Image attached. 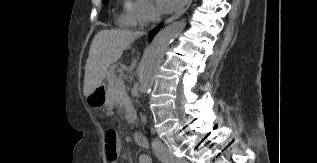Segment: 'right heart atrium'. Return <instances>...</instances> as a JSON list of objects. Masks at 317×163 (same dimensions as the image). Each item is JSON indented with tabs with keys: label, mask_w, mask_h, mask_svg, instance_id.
Instances as JSON below:
<instances>
[{
	"label": "right heart atrium",
	"mask_w": 317,
	"mask_h": 163,
	"mask_svg": "<svg viewBox=\"0 0 317 163\" xmlns=\"http://www.w3.org/2000/svg\"><path fill=\"white\" fill-rule=\"evenodd\" d=\"M157 11L149 0H127L125 19L133 26H145L157 18Z\"/></svg>",
	"instance_id": "d8ad5b80"
}]
</instances>
